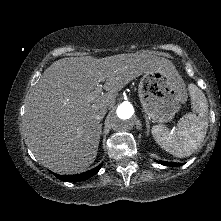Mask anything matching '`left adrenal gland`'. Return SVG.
<instances>
[{
	"instance_id": "a2214340",
	"label": "left adrenal gland",
	"mask_w": 221,
	"mask_h": 221,
	"mask_svg": "<svg viewBox=\"0 0 221 221\" xmlns=\"http://www.w3.org/2000/svg\"><path fill=\"white\" fill-rule=\"evenodd\" d=\"M145 122H146V127H147V135L149 134V131H150V125H149V120L147 118V116H145Z\"/></svg>"
}]
</instances>
